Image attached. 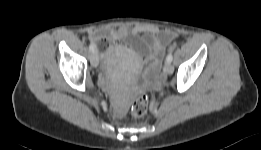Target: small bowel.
<instances>
[{"instance_id":"1","label":"small bowel","mask_w":261,"mask_h":150,"mask_svg":"<svg viewBox=\"0 0 261 150\" xmlns=\"http://www.w3.org/2000/svg\"><path fill=\"white\" fill-rule=\"evenodd\" d=\"M142 34L149 36L148 43H139L136 45L137 56L133 62V70L136 71L141 66L140 56H145V62L148 65L147 79L153 80L159 70L160 60L164 54L166 45L176 37L172 31L160 30L154 25H138L131 29L126 27L110 28L103 27L89 32V40L98 43L100 49H106L110 41L128 40L137 38Z\"/></svg>"}]
</instances>
